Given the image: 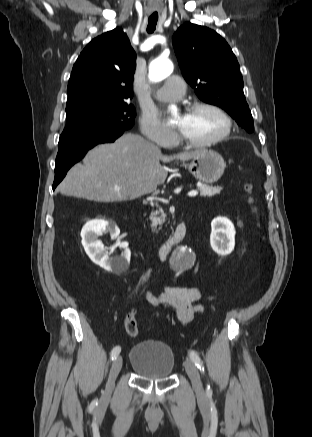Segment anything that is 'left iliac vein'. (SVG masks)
Instances as JSON below:
<instances>
[{
    "label": "left iliac vein",
    "mask_w": 312,
    "mask_h": 437,
    "mask_svg": "<svg viewBox=\"0 0 312 437\" xmlns=\"http://www.w3.org/2000/svg\"><path fill=\"white\" fill-rule=\"evenodd\" d=\"M184 367L185 370L192 382L193 388L197 394V396L199 397H203L204 396V390H203V386H202V382L200 379V375L198 372V369L196 368L195 364L193 363L192 360H185L184 362Z\"/></svg>",
    "instance_id": "1"
}]
</instances>
